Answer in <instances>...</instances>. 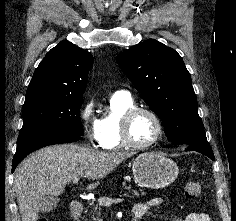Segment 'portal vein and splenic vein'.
I'll return each instance as SVG.
<instances>
[{"mask_svg": "<svg viewBox=\"0 0 236 221\" xmlns=\"http://www.w3.org/2000/svg\"><path fill=\"white\" fill-rule=\"evenodd\" d=\"M78 180H79L78 178H75L73 180V183L74 184L78 183ZM98 201H99V204L102 206H110L115 203H121L124 201V199L123 198H114L113 199V198H109V197H101V198H99Z\"/></svg>", "mask_w": 236, "mask_h": 221, "instance_id": "obj_1", "label": "portal vein and splenic vein"}]
</instances>
